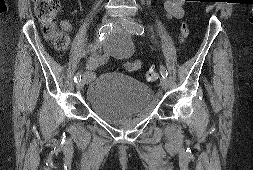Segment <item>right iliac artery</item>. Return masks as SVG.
Wrapping results in <instances>:
<instances>
[{"mask_svg": "<svg viewBox=\"0 0 253 170\" xmlns=\"http://www.w3.org/2000/svg\"><path fill=\"white\" fill-rule=\"evenodd\" d=\"M112 24H108V25H104L99 29V39L102 40L103 36L105 34L110 33V31L112 30ZM81 80V74L80 72L76 73L75 77H74V82L78 83Z\"/></svg>", "mask_w": 253, "mask_h": 170, "instance_id": "right-iliac-artery-1", "label": "right iliac artery"}]
</instances>
